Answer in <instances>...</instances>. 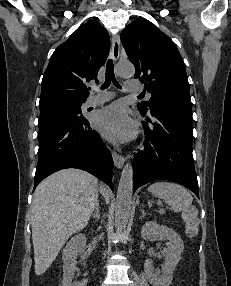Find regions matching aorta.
I'll use <instances>...</instances> for the list:
<instances>
[{"label":"aorta","mask_w":231,"mask_h":286,"mask_svg":"<svg viewBox=\"0 0 231 286\" xmlns=\"http://www.w3.org/2000/svg\"><path fill=\"white\" fill-rule=\"evenodd\" d=\"M117 75L120 77H132L135 68L131 63H119L116 68ZM133 194V168L127 162L122 170L119 186L117 190L115 206V229L118 234L125 231L131 211Z\"/></svg>","instance_id":"762f6f07"}]
</instances>
